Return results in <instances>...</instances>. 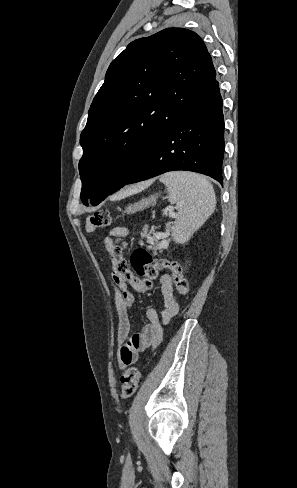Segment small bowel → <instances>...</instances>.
<instances>
[{
    "label": "small bowel",
    "instance_id": "obj_1",
    "mask_svg": "<svg viewBox=\"0 0 297 488\" xmlns=\"http://www.w3.org/2000/svg\"><path fill=\"white\" fill-rule=\"evenodd\" d=\"M128 231L124 227L114 228L109 236L103 240L105 249L110 252L114 246L112 237H126ZM124 243V247H126ZM111 280L114 286V313L117 318V343H118V364L120 368L133 365L139 358V354L148 348L156 347L163 334V325L166 324L178 312V303L173 295V280L168 274L159 279V288L164 300V310L161 316L154 308H147L146 317L148 323L139 332L131 335V320L129 310L136 306V299L133 294L145 293L149 286L135 281H124L116 278L111 272Z\"/></svg>",
    "mask_w": 297,
    "mask_h": 488
}]
</instances>
